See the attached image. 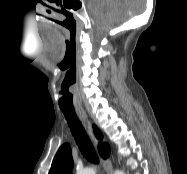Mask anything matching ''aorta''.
Returning <instances> with one entry per match:
<instances>
[{
	"mask_svg": "<svg viewBox=\"0 0 187 174\" xmlns=\"http://www.w3.org/2000/svg\"><path fill=\"white\" fill-rule=\"evenodd\" d=\"M96 173V169L95 168H85V169H82V170H79L77 172V174H95ZM114 174H125L123 171L121 170H116L114 172Z\"/></svg>",
	"mask_w": 187,
	"mask_h": 174,
	"instance_id": "1",
	"label": "aorta"
}]
</instances>
